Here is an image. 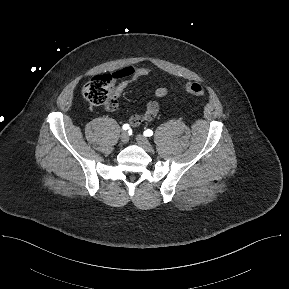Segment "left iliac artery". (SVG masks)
Here are the masks:
<instances>
[{"label": "left iliac artery", "instance_id": "obj_1", "mask_svg": "<svg viewBox=\"0 0 289 289\" xmlns=\"http://www.w3.org/2000/svg\"><path fill=\"white\" fill-rule=\"evenodd\" d=\"M144 135L148 136V137H151L153 135V131L150 130V129H147V130L144 131Z\"/></svg>", "mask_w": 289, "mask_h": 289}]
</instances>
